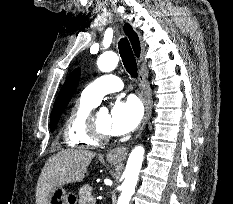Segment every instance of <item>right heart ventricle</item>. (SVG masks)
I'll return each mask as SVG.
<instances>
[{
  "instance_id": "e07e8e85",
  "label": "right heart ventricle",
  "mask_w": 233,
  "mask_h": 204,
  "mask_svg": "<svg viewBox=\"0 0 233 204\" xmlns=\"http://www.w3.org/2000/svg\"><path fill=\"white\" fill-rule=\"evenodd\" d=\"M97 104L83 95L75 102L66 118L64 125L65 143L73 148H88L98 145L88 126L89 116Z\"/></svg>"
}]
</instances>
